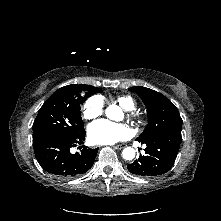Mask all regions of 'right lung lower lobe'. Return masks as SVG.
Listing matches in <instances>:
<instances>
[{
  "mask_svg": "<svg viewBox=\"0 0 221 221\" xmlns=\"http://www.w3.org/2000/svg\"><path fill=\"white\" fill-rule=\"evenodd\" d=\"M85 132L75 138L52 137L33 145L41 167L61 178L77 177L88 171L94 163L98 148L83 146L81 153L72 154L70 149L83 144Z\"/></svg>",
  "mask_w": 221,
  "mask_h": 221,
  "instance_id": "right-lung-lower-lobe-1",
  "label": "right lung lower lobe"
}]
</instances>
